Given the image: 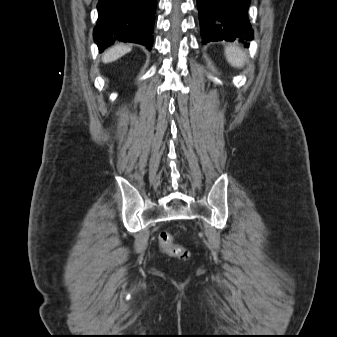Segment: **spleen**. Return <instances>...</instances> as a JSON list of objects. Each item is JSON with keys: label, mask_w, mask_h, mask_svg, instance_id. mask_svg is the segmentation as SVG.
Returning a JSON list of instances; mask_svg holds the SVG:
<instances>
[{"label": "spleen", "mask_w": 337, "mask_h": 337, "mask_svg": "<svg viewBox=\"0 0 337 337\" xmlns=\"http://www.w3.org/2000/svg\"><path fill=\"white\" fill-rule=\"evenodd\" d=\"M225 56L231 66L242 68L246 62L245 53L236 45H231L225 48Z\"/></svg>", "instance_id": "3e777b00"}]
</instances>
